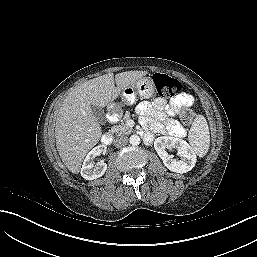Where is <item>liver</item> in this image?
Masks as SVG:
<instances>
[{
	"mask_svg": "<svg viewBox=\"0 0 257 257\" xmlns=\"http://www.w3.org/2000/svg\"><path fill=\"white\" fill-rule=\"evenodd\" d=\"M147 71L108 73L88 80L73 89L59 109L55 138L57 151L72 173H79L87 152L100 140L102 130L91 106L103 108L113 102L122 90L134 85ZM116 84V86H115Z\"/></svg>",
	"mask_w": 257,
	"mask_h": 257,
	"instance_id": "obj_1",
	"label": "liver"
}]
</instances>
